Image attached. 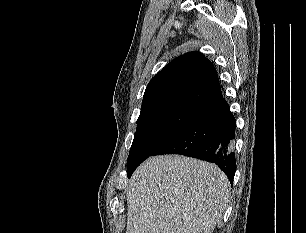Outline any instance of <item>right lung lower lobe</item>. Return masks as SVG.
<instances>
[{
  "instance_id": "1",
  "label": "right lung lower lobe",
  "mask_w": 306,
  "mask_h": 233,
  "mask_svg": "<svg viewBox=\"0 0 306 233\" xmlns=\"http://www.w3.org/2000/svg\"><path fill=\"white\" fill-rule=\"evenodd\" d=\"M235 126L229 105L221 97L204 107L152 155L181 154L215 163L232 183L236 171L232 152Z\"/></svg>"
}]
</instances>
